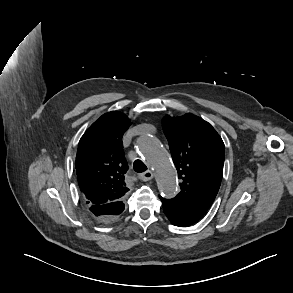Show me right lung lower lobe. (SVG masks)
Returning <instances> with one entry per match:
<instances>
[{"mask_svg":"<svg viewBox=\"0 0 293 293\" xmlns=\"http://www.w3.org/2000/svg\"><path fill=\"white\" fill-rule=\"evenodd\" d=\"M91 214L102 222H110L114 220L124 210V204L122 201L115 203H108L102 205L89 206Z\"/></svg>","mask_w":293,"mask_h":293,"instance_id":"obj_1","label":"right lung lower lobe"}]
</instances>
